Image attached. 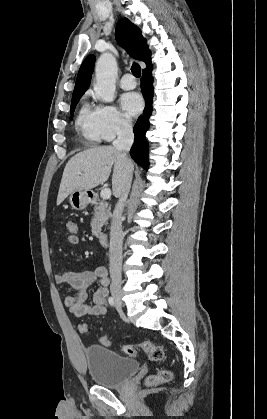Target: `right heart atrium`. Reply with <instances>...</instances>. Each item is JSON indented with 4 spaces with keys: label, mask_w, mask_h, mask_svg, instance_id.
<instances>
[{
    "label": "right heart atrium",
    "mask_w": 267,
    "mask_h": 419,
    "mask_svg": "<svg viewBox=\"0 0 267 419\" xmlns=\"http://www.w3.org/2000/svg\"><path fill=\"white\" fill-rule=\"evenodd\" d=\"M99 130L103 140L111 141L130 130L131 121L117 107L102 104L97 107Z\"/></svg>",
    "instance_id": "obj_1"
}]
</instances>
